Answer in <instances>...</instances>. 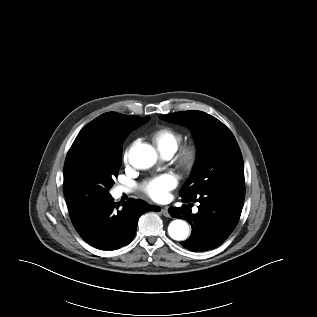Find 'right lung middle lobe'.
Masks as SVG:
<instances>
[{"mask_svg":"<svg viewBox=\"0 0 317 317\" xmlns=\"http://www.w3.org/2000/svg\"><path fill=\"white\" fill-rule=\"evenodd\" d=\"M150 117L138 118L125 129L127 135L132 130L145 124ZM122 148L107 141L94 138L74 143L64 165L65 197L91 203L111 196L109 189L114 184L121 166Z\"/></svg>","mask_w":317,"mask_h":317,"instance_id":"right-lung-middle-lobe-1","label":"right lung middle lobe"}]
</instances>
